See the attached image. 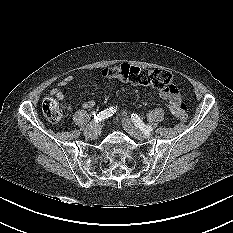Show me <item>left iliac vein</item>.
I'll use <instances>...</instances> for the list:
<instances>
[{
  "label": "left iliac vein",
  "instance_id": "left-iliac-vein-1",
  "mask_svg": "<svg viewBox=\"0 0 233 233\" xmlns=\"http://www.w3.org/2000/svg\"><path fill=\"white\" fill-rule=\"evenodd\" d=\"M123 128L135 139L142 140L146 138H150V132H143L142 130L135 127L130 120L127 118L122 119Z\"/></svg>",
  "mask_w": 233,
  "mask_h": 233
}]
</instances>
